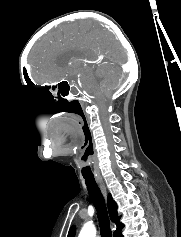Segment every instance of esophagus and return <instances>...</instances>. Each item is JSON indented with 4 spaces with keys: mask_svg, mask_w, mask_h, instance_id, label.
Listing matches in <instances>:
<instances>
[{
    "mask_svg": "<svg viewBox=\"0 0 181 237\" xmlns=\"http://www.w3.org/2000/svg\"><path fill=\"white\" fill-rule=\"evenodd\" d=\"M98 182L100 183V187H101V190H102L103 194L106 196L107 192H106L105 186L101 183V180L98 179Z\"/></svg>",
    "mask_w": 181,
    "mask_h": 237,
    "instance_id": "obj_1",
    "label": "esophagus"
}]
</instances>
